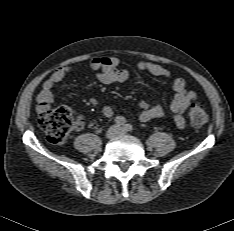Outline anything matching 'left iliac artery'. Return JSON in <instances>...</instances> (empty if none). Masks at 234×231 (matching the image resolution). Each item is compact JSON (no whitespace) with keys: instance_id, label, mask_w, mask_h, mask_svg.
<instances>
[{"instance_id":"left-iliac-artery-1","label":"left iliac artery","mask_w":234,"mask_h":231,"mask_svg":"<svg viewBox=\"0 0 234 231\" xmlns=\"http://www.w3.org/2000/svg\"><path fill=\"white\" fill-rule=\"evenodd\" d=\"M123 129H124L125 131H132V130H133V126H132L131 124H125V125L123 126Z\"/></svg>"}]
</instances>
